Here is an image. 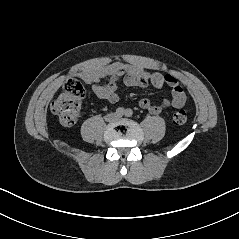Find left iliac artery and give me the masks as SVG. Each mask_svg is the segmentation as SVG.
Returning <instances> with one entry per match:
<instances>
[{"label":"left iliac artery","instance_id":"obj_1","mask_svg":"<svg viewBox=\"0 0 239 239\" xmlns=\"http://www.w3.org/2000/svg\"><path fill=\"white\" fill-rule=\"evenodd\" d=\"M133 115V111L131 109H126L125 110V116L131 117Z\"/></svg>","mask_w":239,"mask_h":239}]
</instances>
